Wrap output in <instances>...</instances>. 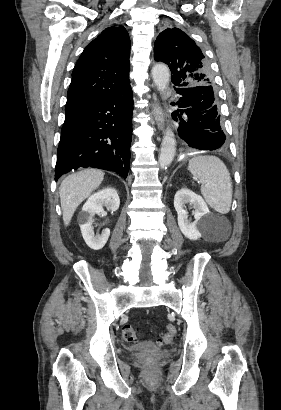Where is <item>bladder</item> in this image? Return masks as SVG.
<instances>
[{
    "label": "bladder",
    "instance_id": "obj_1",
    "mask_svg": "<svg viewBox=\"0 0 281 410\" xmlns=\"http://www.w3.org/2000/svg\"><path fill=\"white\" fill-rule=\"evenodd\" d=\"M157 349V345L153 342H141L131 346V350L137 352H149Z\"/></svg>",
    "mask_w": 281,
    "mask_h": 410
}]
</instances>
